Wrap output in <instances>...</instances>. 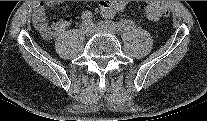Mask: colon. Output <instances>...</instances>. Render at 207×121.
Returning a JSON list of instances; mask_svg holds the SVG:
<instances>
[{
    "instance_id": "obj_1",
    "label": "colon",
    "mask_w": 207,
    "mask_h": 121,
    "mask_svg": "<svg viewBox=\"0 0 207 121\" xmlns=\"http://www.w3.org/2000/svg\"><path fill=\"white\" fill-rule=\"evenodd\" d=\"M146 16L153 21H158L169 15V8L162 1H150L145 6Z\"/></svg>"
}]
</instances>
